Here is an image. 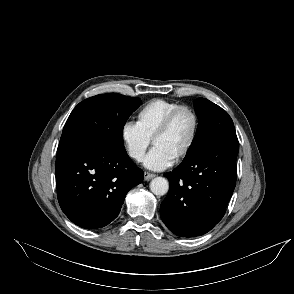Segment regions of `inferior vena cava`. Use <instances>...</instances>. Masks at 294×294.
<instances>
[{
	"label": "inferior vena cava",
	"instance_id": "inferior-vena-cava-1",
	"mask_svg": "<svg viewBox=\"0 0 294 294\" xmlns=\"http://www.w3.org/2000/svg\"><path fill=\"white\" fill-rule=\"evenodd\" d=\"M142 156L143 155L141 153H138V152L132 154V157L136 158L137 160H140L142 158Z\"/></svg>",
	"mask_w": 294,
	"mask_h": 294
}]
</instances>
